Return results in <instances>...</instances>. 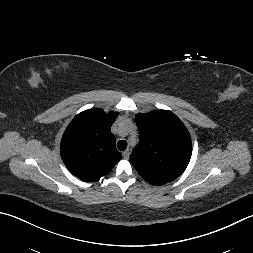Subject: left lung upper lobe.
Here are the masks:
<instances>
[{
  "label": "left lung upper lobe",
  "instance_id": "obj_1",
  "mask_svg": "<svg viewBox=\"0 0 253 253\" xmlns=\"http://www.w3.org/2000/svg\"><path fill=\"white\" fill-rule=\"evenodd\" d=\"M140 141L131 154V163L140 176L153 185L179 177L192 154L188 130L171 111L155 110L135 118Z\"/></svg>",
  "mask_w": 253,
  "mask_h": 253
}]
</instances>
